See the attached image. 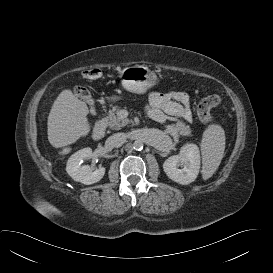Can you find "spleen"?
I'll return each instance as SVG.
<instances>
[{
    "label": "spleen",
    "instance_id": "3e777b00",
    "mask_svg": "<svg viewBox=\"0 0 273 273\" xmlns=\"http://www.w3.org/2000/svg\"><path fill=\"white\" fill-rule=\"evenodd\" d=\"M225 132L218 124L209 125L201 140L202 176L209 179L217 170L224 156Z\"/></svg>",
    "mask_w": 273,
    "mask_h": 273
}]
</instances>
